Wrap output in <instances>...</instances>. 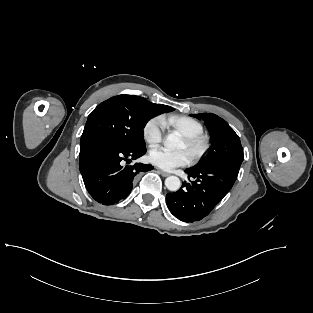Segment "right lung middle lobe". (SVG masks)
I'll list each match as a JSON object with an SVG mask.
<instances>
[{"label":"right lung middle lobe","instance_id":"1","mask_svg":"<svg viewBox=\"0 0 313 313\" xmlns=\"http://www.w3.org/2000/svg\"><path fill=\"white\" fill-rule=\"evenodd\" d=\"M163 110L145 98L118 95L99 104L88 116L80 144L103 137L129 147L145 146L143 129L153 117L173 111Z\"/></svg>","mask_w":313,"mask_h":313}]
</instances>
